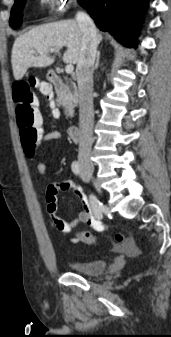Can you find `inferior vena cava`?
Segmentation results:
<instances>
[{"mask_svg":"<svg viewBox=\"0 0 171 337\" xmlns=\"http://www.w3.org/2000/svg\"><path fill=\"white\" fill-rule=\"evenodd\" d=\"M76 21L83 34L80 58L77 63L76 75L79 91V152L80 163L91 164V147L93 143V66L97 52V31L95 25L84 12L76 14Z\"/></svg>","mask_w":171,"mask_h":337,"instance_id":"obj_1","label":"inferior vena cava"}]
</instances>
